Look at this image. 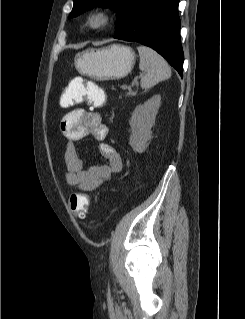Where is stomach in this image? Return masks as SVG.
<instances>
[{"instance_id": "stomach-1", "label": "stomach", "mask_w": 245, "mask_h": 319, "mask_svg": "<svg viewBox=\"0 0 245 319\" xmlns=\"http://www.w3.org/2000/svg\"><path fill=\"white\" fill-rule=\"evenodd\" d=\"M74 62L81 74L93 79H121L131 72L135 63V53L128 46L113 44L79 53L75 56Z\"/></svg>"}]
</instances>
